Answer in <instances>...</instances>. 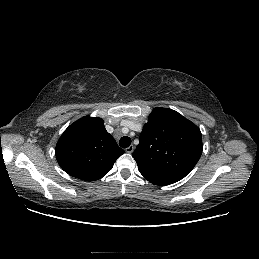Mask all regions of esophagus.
Returning <instances> with one entry per match:
<instances>
[{"instance_id": "obj_1", "label": "esophagus", "mask_w": 259, "mask_h": 259, "mask_svg": "<svg viewBox=\"0 0 259 259\" xmlns=\"http://www.w3.org/2000/svg\"><path fill=\"white\" fill-rule=\"evenodd\" d=\"M134 151V146L130 145L129 147L126 148L127 153H132Z\"/></svg>"}]
</instances>
